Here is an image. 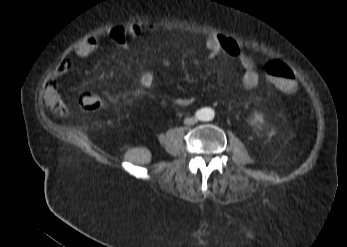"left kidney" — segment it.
I'll use <instances>...</instances> for the list:
<instances>
[{
    "instance_id": "obj_1",
    "label": "left kidney",
    "mask_w": 347,
    "mask_h": 247,
    "mask_svg": "<svg viewBox=\"0 0 347 247\" xmlns=\"http://www.w3.org/2000/svg\"><path fill=\"white\" fill-rule=\"evenodd\" d=\"M255 118H256V120H261L262 119V117L260 115H257Z\"/></svg>"
}]
</instances>
